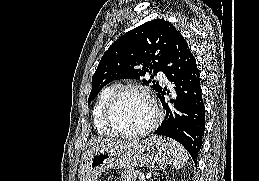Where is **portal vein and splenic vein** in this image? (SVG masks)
Here are the masks:
<instances>
[{"instance_id":"obj_1","label":"portal vein and splenic vein","mask_w":259,"mask_h":181,"mask_svg":"<svg viewBox=\"0 0 259 181\" xmlns=\"http://www.w3.org/2000/svg\"><path fill=\"white\" fill-rule=\"evenodd\" d=\"M144 179H145L144 174H140V175H139V181H143Z\"/></svg>"}]
</instances>
